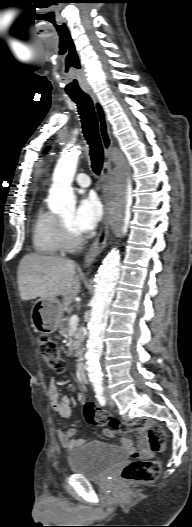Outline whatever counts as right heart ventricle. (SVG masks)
<instances>
[{"mask_svg": "<svg viewBox=\"0 0 192 527\" xmlns=\"http://www.w3.org/2000/svg\"><path fill=\"white\" fill-rule=\"evenodd\" d=\"M32 244L34 250L41 255H56L63 249L59 217L40 206L32 221Z\"/></svg>", "mask_w": 192, "mask_h": 527, "instance_id": "obj_1", "label": "right heart ventricle"}]
</instances>
